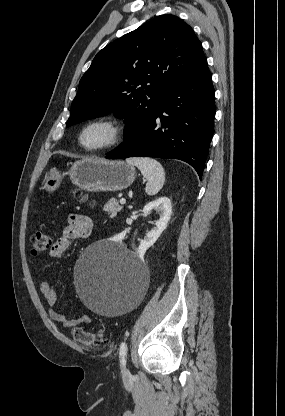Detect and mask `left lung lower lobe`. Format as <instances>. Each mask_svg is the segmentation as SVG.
<instances>
[{"label": "left lung lower lobe", "instance_id": "0a47b994", "mask_svg": "<svg viewBox=\"0 0 285 416\" xmlns=\"http://www.w3.org/2000/svg\"><path fill=\"white\" fill-rule=\"evenodd\" d=\"M214 100L212 77L204 56L153 115L106 158L179 159L190 164L201 179L213 136ZM158 118L160 128L156 124Z\"/></svg>", "mask_w": 285, "mask_h": 416}]
</instances>
